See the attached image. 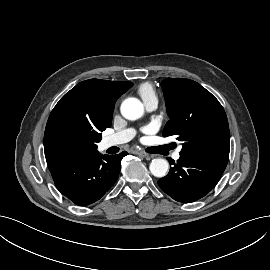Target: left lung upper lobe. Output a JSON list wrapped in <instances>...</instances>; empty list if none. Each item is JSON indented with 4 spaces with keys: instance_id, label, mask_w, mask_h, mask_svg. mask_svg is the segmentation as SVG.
<instances>
[{
    "instance_id": "1",
    "label": "left lung upper lobe",
    "mask_w": 270,
    "mask_h": 270,
    "mask_svg": "<svg viewBox=\"0 0 270 270\" xmlns=\"http://www.w3.org/2000/svg\"><path fill=\"white\" fill-rule=\"evenodd\" d=\"M170 120L163 136L176 135L182 142L181 155L228 162L229 125L219 101L190 79L167 78L162 82Z\"/></svg>"
}]
</instances>
